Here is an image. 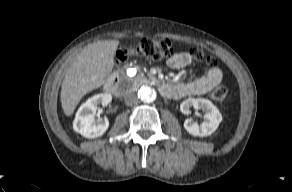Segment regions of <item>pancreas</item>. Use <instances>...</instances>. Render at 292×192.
I'll return each mask as SVG.
<instances>
[{"instance_id":"obj_1","label":"pancreas","mask_w":292,"mask_h":192,"mask_svg":"<svg viewBox=\"0 0 292 192\" xmlns=\"http://www.w3.org/2000/svg\"><path fill=\"white\" fill-rule=\"evenodd\" d=\"M151 78V77H150ZM144 79V74L141 73L140 75L133 78L135 82H141Z\"/></svg>"}]
</instances>
